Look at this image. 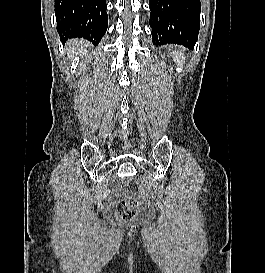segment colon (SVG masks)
<instances>
[{"label":"colon","mask_w":265,"mask_h":273,"mask_svg":"<svg viewBox=\"0 0 265 273\" xmlns=\"http://www.w3.org/2000/svg\"><path fill=\"white\" fill-rule=\"evenodd\" d=\"M128 195L117 204V212L121 219L131 220L137 216L141 206L146 202V192L137 180L131 179L127 183Z\"/></svg>","instance_id":"colon-1"}]
</instances>
